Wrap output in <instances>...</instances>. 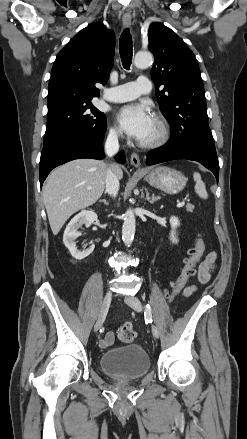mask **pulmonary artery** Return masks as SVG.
I'll return each instance as SVG.
<instances>
[{"mask_svg": "<svg viewBox=\"0 0 247 439\" xmlns=\"http://www.w3.org/2000/svg\"><path fill=\"white\" fill-rule=\"evenodd\" d=\"M151 91V81L147 77H139L134 82L125 83L110 89L104 93V98L110 102H125L133 100L142 94Z\"/></svg>", "mask_w": 247, "mask_h": 439, "instance_id": "obj_1", "label": "pulmonary artery"}]
</instances>
